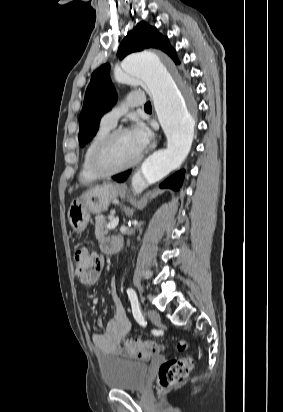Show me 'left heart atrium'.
Instances as JSON below:
<instances>
[{
    "mask_svg": "<svg viewBox=\"0 0 283 412\" xmlns=\"http://www.w3.org/2000/svg\"><path fill=\"white\" fill-rule=\"evenodd\" d=\"M129 132L140 152L149 144L152 137L149 129L141 122L135 124Z\"/></svg>",
    "mask_w": 283,
    "mask_h": 412,
    "instance_id": "obj_1",
    "label": "left heart atrium"
}]
</instances>
